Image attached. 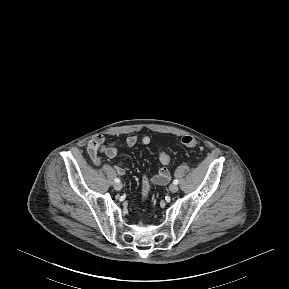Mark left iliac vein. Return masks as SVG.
<instances>
[{
  "label": "left iliac vein",
  "instance_id": "1",
  "mask_svg": "<svg viewBox=\"0 0 289 289\" xmlns=\"http://www.w3.org/2000/svg\"><path fill=\"white\" fill-rule=\"evenodd\" d=\"M178 185H176V184H171L170 186H169V190L172 192V193H175V192H177L178 191Z\"/></svg>",
  "mask_w": 289,
  "mask_h": 289
}]
</instances>
